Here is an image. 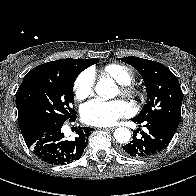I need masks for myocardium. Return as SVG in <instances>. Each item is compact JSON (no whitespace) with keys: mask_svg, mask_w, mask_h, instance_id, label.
I'll return each mask as SVG.
<instances>
[{"mask_svg":"<svg viewBox=\"0 0 196 196\" xmlns=\"http://www.w3.org/2000/svg\"><path fill=\"white\" fill-rule=\"evenodd\" d=\"M121 93L127 97H134L138 94L137 90L131 85H122L121 86Z\"/></svg>","mask_w":196,"mask_h":196,"instance_id":"1","label":"myocardium"}]
</instances>
